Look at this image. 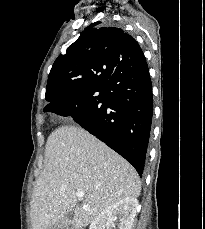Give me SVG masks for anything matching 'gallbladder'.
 <instances>
[{
	"mask_svg": "<svg viewBox=\"0 0 205 229\" xmlns=\"http://www.w3.org/2000/svg\"><path fill=\"white\" fill-rule=\"evenodd\" d=\"M74 218L73 211L69 212L65 219H61L59 222L49 227V229H72L71 222Z\"/></svg>",
	"mask_w": 205,
	"mask_h": 229,
	"instance_id": "gallbladder-1",
	"label": "gallbladder"
}]
</instances>
